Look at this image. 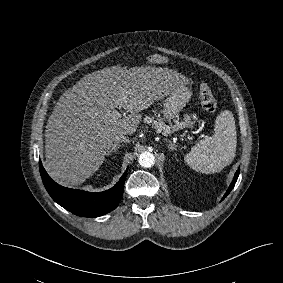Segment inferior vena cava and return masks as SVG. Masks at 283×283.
<instances>
[{
  "instance_id": "602c4592",
  "label": "inferior vena cava",
  "mask_w": 283,
  "mask_h": 283,
  "mask_svg": "<svg viewBox=\"0 0 283 283\" xmlns=\"http://www.w3.org/2000/svg\"><path fill=\"white\" fill-rule=\"evenodd\" d=\"M114 141L115 142H125V143H129V139L123 135V134H118L114 137Z\"/></svg>"
}]
</instances>
